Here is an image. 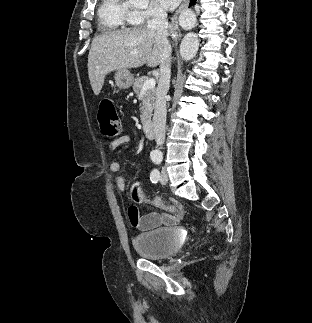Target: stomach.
<instances>
[{
    "label": "stomach",
    "instance_id": "stomach-1",
    "mask_svg": "<svg viewBox=\"0 0 312 323\" xmlns=\"http://www.w3.org/2000/svg\"><path fill=\"white\" fill-rule=\"evenodd\" d=\"M115 84L120 90H127L134 82L132 74L129 70H117L114 76Z\"/></svg>",
    "mask_w": 312,
    "mask_h": 323
}]
</instances>
